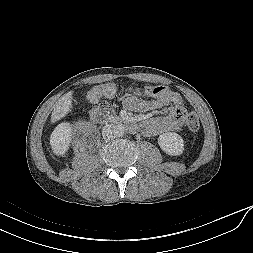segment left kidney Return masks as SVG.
Segmentation results:
<instances>
[{"mask_svg": "<svg viewBox=\"0 0 253 253\" xmlns=\"http://www.w3.org/2000/svg\"><path fill=\"white\" fill-rule=\"evenodd\" d=\"M158 144L160 148L168 155L178 156L184 150V141L182 137L174 132L164 133L159 136Z\"/></svg>", "mask_w": 253, "mask_h": 253, "instance_id": "5707ae66", "label": "left kidney"}]
</instances>
